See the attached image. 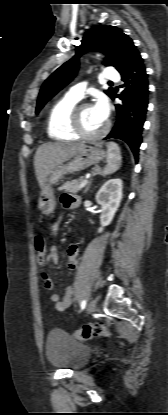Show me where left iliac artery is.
Here are the masks:
<instances>
[{
	"label": "left iliac artery",
	"mask_w": 168,
	"mask_h": 415,
	"mask_svg": "<svg viewBox=\"0 0 168 415\" xmlns=\"http://www.w3.org/2000/svg\"><path fill=\"white\" fill-rule=\"evenodd\" d=\"M86 306V300H82L81 302V309L83 310Z\"/></svg>",
	"instance_id": "1"
}]
</instances>
